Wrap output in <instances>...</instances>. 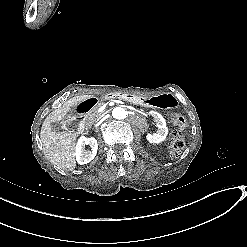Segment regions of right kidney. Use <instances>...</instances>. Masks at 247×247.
Segmentation results:
<instances>
[{"instance_id": "right-kidney-1", "label": "right kidney", "mask_w": 247, "mask_h": 247, "mask_svg": "<svg viewBox=\"0 0 247 247\" xmlns=\"http://www.w3.org/2000/svg\"><path fill=\"white\" fill-rule=\"evenodd\" d=\"M85 145H89L91 150H85ZM98 150V143L94 137L87 138L81 136L76 144L75 157L78 164L83 165L91 162Z\"/></svg>"}]
</instances>
